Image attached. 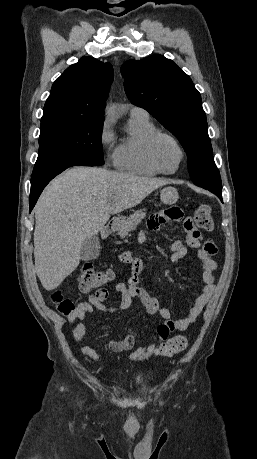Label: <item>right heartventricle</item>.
Instances as JSON below:
<instances>
[{
  "mask_svg": "<svg viewBox=\"0 0 257 459\" xmlns=\"http://www.w3.org/2000/svg\"><path fill=\"white\" fill-rule=\"evenodd\" d=\"M157 131L148 115L130 114L128 133L117 144L113 159L115 166L124 172L142 176H155L159 172L149 163L146 143Z\"/></svg>",
  "mask_w": 257,
  "mask_h": 459,
  "instance_id": "obj_1",
  "label": "right heart ventricle"
}]
</instances>
